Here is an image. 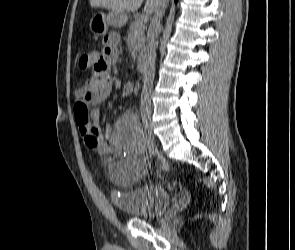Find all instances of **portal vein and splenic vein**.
Here are the masks:
<instances>
[{
	"mask_svg": "<svg viewBox=\"0 0 295 250\" xmlns=\"http://www.w3.org/2000/svg\"><path fill=\"white\" fill-rule=\"evenodd\" d=\"M149 14L150 13L148 11H144V13L141 16V22L143 23L147 22Z\"/></svg>",
	"mask_w": 295,
	"mask_h": 250,
	"instance_id": "18ae733b",
	"label": "portal vein and splenic vein"
}]
</instances>
